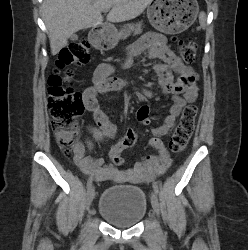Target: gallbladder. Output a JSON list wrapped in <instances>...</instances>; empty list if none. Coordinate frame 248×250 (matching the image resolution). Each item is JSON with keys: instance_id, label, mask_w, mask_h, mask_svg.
Returning a JSON list of instances; mask_svg holds the SVG:
<instances>
[{"instance_id": "bac80fb5", "label": "gallbladder", "mask_w": 248, "mask_h": 250, "mask_svg": "<svg viewBox=\"0 0 248 250\" xmlns=\"http://www.w3.org/2000/svg\"><path fill=\"white\" fill-rule=\"evenodd\" d=\"M70 39H71V40H77V39H78L77 34L71 35V36H70Z\"/></svg>"}]
</instances>
